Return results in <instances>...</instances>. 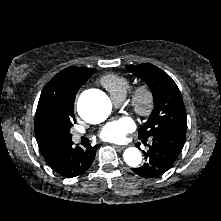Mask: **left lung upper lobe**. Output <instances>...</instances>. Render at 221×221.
Returning a JSON list of instances; mask_svg holds the SVG:
<instances>
[{"label": "left lung upper lobe", "instance_id": "left-lung-upper-lobe-1", "mask_svg": "<svg viewBox=\"0 0 221 221\" xmlns=\"http://www.w3.org/2000/svg\"><path fill=\"white\" fill-rule=\"evenodd\" d=\"M126 69L147 83L154 99V109L139 129V138L148 139L165 132L186 133V110L173 79L151 64L130 65Z\"/></svg>", "mask_w": 221, "mask_h": 221}]
</instances>
